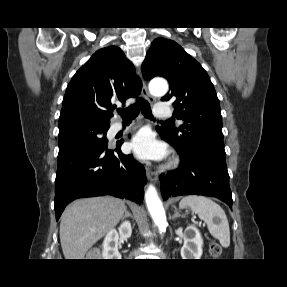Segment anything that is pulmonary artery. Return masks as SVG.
Here are the masks:
<instances>
[{
  "instance_id": "e3ab8cb5",
  "label": "pulmonary artery",
  "mask_w": 287,
  "mask_h": 287,
  "mask_svg": "<svg viewBox=\"0 0 287 287\" xmlns=\"http://www.w3.org/2000/svg\"><path fill=\"white\" fill-rule=\"evenodd\" d=\"M154 115L159 116V117H168L171 115V109L166 104H156L154 107ZM124 128H126V127L123 124L115 123L113 128H112V131L114 133H117V132L123 130Z\"/></svg>"
}]
</instances>
